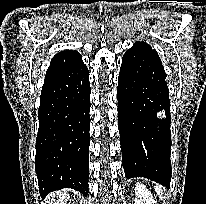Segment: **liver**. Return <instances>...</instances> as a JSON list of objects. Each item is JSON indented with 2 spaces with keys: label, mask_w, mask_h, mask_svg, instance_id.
<instances>
[{
  "label": "liver",
  "mask_w": 206,
  "mask_h": 204,
  "mask_svg": "<svg viewBox=\"0 0 206 204\" xmlns=\"http://www.w3.org/2000/svg\"><path fill=\"white\" fill-rule=\"evenodd\" d=\"M68 189H63L58 191L57 193L50 194L51 203L49 204H66V202L70 199Z\"/></svg>",
  "instance_id": "liver-1"
}]
</instances>
